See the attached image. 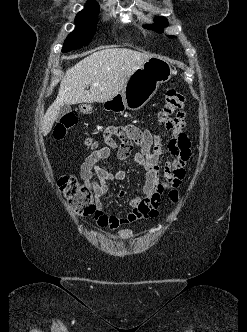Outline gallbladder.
<instances>
[{
  "instance_id": "obj_1",
  "label": "gallbladder",
  "mask_w": 247,
  "mask_h": 332,
  "mask_svg": "<svg viewBox=\"0 0 247 332\" xmlns=\"http://www.w3.org/2000/svg\"><path fill=\"white\" fill-rule=\"evenodd\" d=\"M71 111V107H70V105L69 104H63L61 107H60V110H59V114H58V116L60 117V116H63V115H65V114H67V113H69Z\"/></svg>"
}]
</instances>
